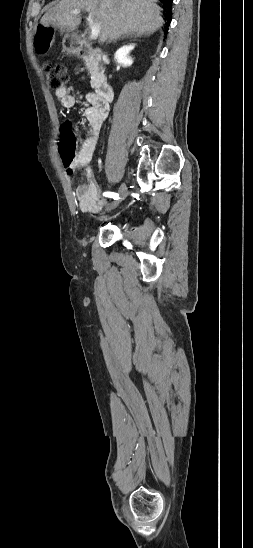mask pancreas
<instances>
[{
	"mask_svg": "<svg viewBox=\"0 0 253 548\" xmlns=\"http://www.w3.org/2000/svg\"><path fill=\"white\" fill-rule=\"evenodd\" d=\"M85 65L91 75V87L95 88L102 77V67L95 60H87L85 61Z\"/></svg>",
	"mask_w": 253,
	"mask_h": 548,
	"instance_id": "pancreas-1",
	"label": "pancreas"
}]
</instances>
